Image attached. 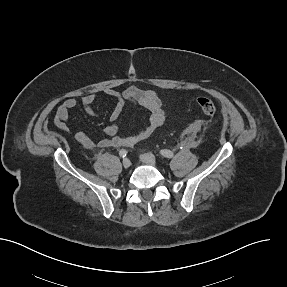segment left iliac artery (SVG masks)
I'll return each mask as SVG.
<instances>
[{"label": "left iliac artery", "instance_id": "44dca946", "mask_svg": "<svg viewBox=\"0 0 287 287\" xmlns=\"http://www.w3.org/2000/svg\"><path fill=\"white\" fill-rule=\"evenodd\" d=\"M184 147H185V145L182 143V144L180 145V148L183 149ZM160 154H161L162 156L166 157V158H172L173 155H174L172 151L167 150V149L161 150V151H160Z\"/></svg>", "mask_w": 287, "mask_h": 287}]
</instances>
